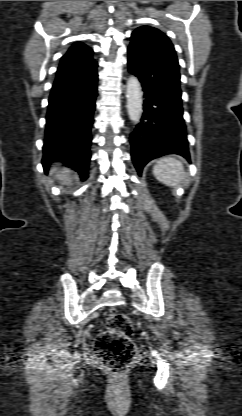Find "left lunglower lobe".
I'll use <instances>...</instances> for the list:
<instances>
[{"label": "left lung lower lobe", "instance_id": "obj_1", "mask_svg": "<svg viewBox=\"0 0 242 416\" xmlns=\"http://www.w3.org/2000/svg\"><path fill=\"white\" fill-rule=\"evenodd\" d=\"M128 67L142 83L144 92V113L130 135L131 156L138 174L150 160L166 154L189 159L179 67L171 54L148 37L132 34Z\"/></svg>", "mask_w": 242, "mask_h": 416}]
</instances>
